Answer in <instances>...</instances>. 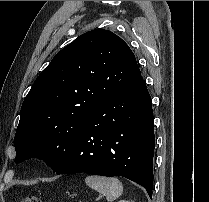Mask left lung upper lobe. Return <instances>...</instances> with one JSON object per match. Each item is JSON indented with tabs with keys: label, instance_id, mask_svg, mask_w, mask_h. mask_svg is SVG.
<instances>
[{
	"label": "left lung upper lobe",
	"instance_id": "1",
	"mask_svg": "<svg viewBox=\"0 0 209 202\" xmlns=\"http://www.w3.org/2000/svg\"><path fill=\"white\" fill-rule=\"evenodd\" d=\"M140 75L133 52L111 31L95 29L76 38L40 73L22 104L16 163L36 157L57 172L86 116Z\"/></svg>",
	"mask_w": 209,
	"mask_h": 202
}]
</instances>
